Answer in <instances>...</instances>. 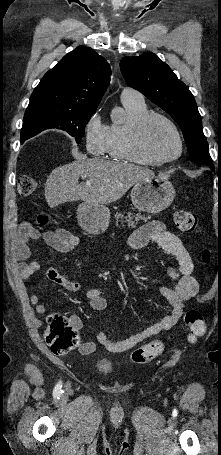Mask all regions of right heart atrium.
<instances>
[{
	"instance_id": "d8ad5b80",
	"label": "right heart atrium",
	"mask_w": 221,
	"mask_h": 455,
	"mask_svg": "<svg viewBox=\"0 0 221 455\" xmlns=\"http://www.w3.org/2000/svg\"><path fill=\"white\" fill-rule=\"evenodd\" d=\"M109 126L104 123L99 111L94 112L84 126L86 150L93 155L105 153Z\"/></svg>"
}]
</instances>
